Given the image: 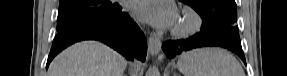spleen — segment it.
Masks as SVG:
<instances>
[{"instance_id":"spleen-1","label":"spleen","mask_w":287,"mask_h":76,"mask_svg":"<svg viewBox=\"0 0 287 76\" xmlns=\"http://www.w3.org/2000/svg\"><path fill=\"white\" fill-rule=\"evenodd\" d=\"M177 66L184 76H245L237 59L221 48L187 51L181 55Z\"/></svg>"}]
</instances>
